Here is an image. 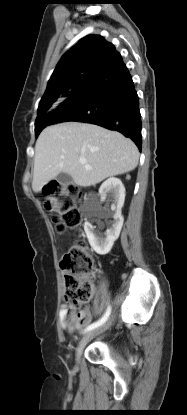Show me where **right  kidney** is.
Wrapping results in <instances>:
<instances>
[{
	"label": "right kidney",
	"mask_w": 187,
	"mask_h": 415,
	"mask_svg": "<svg viewBox=\"0 0 187 415\" xmlns=\"http://www.w3.org/2000/svg\"><path fill=\"white\" fill-rule=\"evenodd\" d=\"M99 195L101 199L108 196L112 202L111 211L107 208H99L100 216H112L114 221L111 227L107 229L105 237L97 235L94 230L95 227L90 222H85L84 230L93 250L99 255H105L110 252L123 226L124 219L121 215V209L125 200V188L120 179L111 177L103 182L99 188Z\"/></svg>",
	"instance_id": "right-kidney-1"
}]
</instances>
